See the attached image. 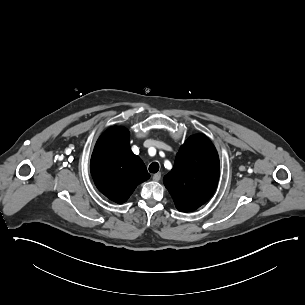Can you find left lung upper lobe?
Listing matches in <instances>:
<instances>
[{"label": "left lung upper lobe", "mask_w": 305, "mask_h": 305, "mask_svg": "<svg viewBox=\"0 0 305 305\" xmlns=\"http://www.w3.org/2000/svg\"><path fill=\"white\" fill-rule=\"evenodd\" d=\"M220 175L218 153L205 135H193L181 146L163 182L179 211L190 212L213 195Z\"/></svg>", "instance_id": "obj_1"}]
</instances>
